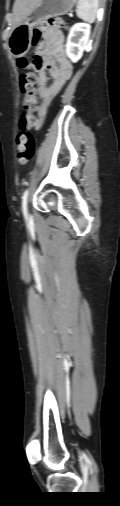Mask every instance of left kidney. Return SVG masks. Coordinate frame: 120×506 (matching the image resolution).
I'll list each match as a JSON object with an SVG mask.
<instances>
[{"label":"left kidney","mask_w":120,"mask_h":506,"mask_svg":"<svg viewBox=\"0 0 120 506\" xmlns=\"http://www.w3.org/2000/svg\"><path fill=\"white\" fill-rule=\"evenodd\" d=\"M90 36V25L77 23L73 25L67 37L66 54L72 62H77L83 55Z\"/></svg>","instance_id":"5707ae66"}]
</instances>
